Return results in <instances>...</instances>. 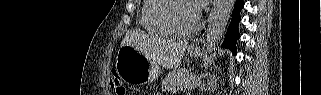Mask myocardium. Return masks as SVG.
I'll list each match as a JSON object with an SVG mask.
<instances>
[{
	"label": "myocardium",
	"instance_id": "1",
	"mask_svg": "<svg viewBox=\"0 0 321 95\" xmlns=\"http://www.w3.org/2000/svg\"><path fill=\"white\" fill-rule=\"evenodd\" d=\"M179 2H183V3H187L188 5H190L191 7H193V4L188 1V0H163L162 5L159 7L158 11H157V17L159 22L173 35L175 36H179V37H186V36H190L192 34H194L195 32L198 31V29L200 28L201 25V19L198 13H196V21L195 24L192 28L188 29V30H181L178 29L177 27H175L170 18H169V10L171 8V6L175 3H179Z\"/></svg>",
	"mask_w": 321,
	"mask_h": 95
}]
</instances>
